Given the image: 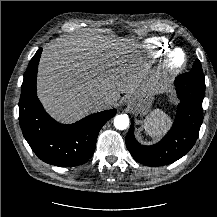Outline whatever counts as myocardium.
I'll use <instances>...</instances> for the list:
<instances>
[{"label":"myocardium","instance_id":"obj_1","mask_svg":"<svg viewBox=\"0 0 217 217\" xmlns=\"http://www.w3.org/2000/svg\"><path fill=\"white\" fill-rule=\"evenodd\" d=\"M177 54L181 55L180 61H177L175 59ZM187 64L188 57L186 53L182 49L176 48L166 54L163 61V68L167 72V74L173 76L180 73L187 66Z\"/></svg>","mask_w":217,"mask_h":217}]
</instances>
